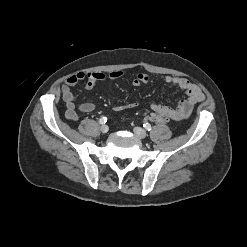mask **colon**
I'll use <instances>...</instances> for the list:
<instances>
[{"mask_svg":"<svg viewBox=\"0 0 247 247\" xmlns=\"http://www.w3.org/2000/svg\"><path fill=\"white\" fill-rule=\"evenodd\" d=\"M147 118L157 124H166L169 120L164 115L158 114L156 112L148 114Z\"/></svg>","mask_w":247,"mask_h":247,"instance_id":"5ec220e1","label":"colon"}]
</instances>
